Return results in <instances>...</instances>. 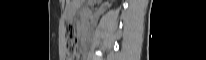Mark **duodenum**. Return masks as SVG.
<instances>
[{
  "label": "duodenum",
  "mask_w": 206,
  "mask_h": 60,
  "mask_svg": "<svg viewBox=\"0 0 206 60\" xmlns=\"http://www.w3.org/2000/svg\"><path fill=\"white\" fill-rule=\"evenodd\" d=\"M88 29H89V26H88V25H83V26L81 27V29H80V35H81L82 38L85 37V35H86V30H88Z\"/></svg>",
  "instance_id": "obj_1"
}]
</instances>
